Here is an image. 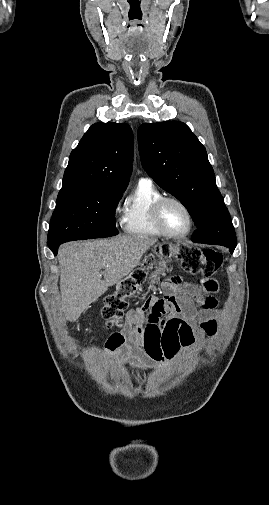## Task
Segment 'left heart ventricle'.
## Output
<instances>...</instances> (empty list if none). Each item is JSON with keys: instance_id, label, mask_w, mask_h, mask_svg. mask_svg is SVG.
<instances>
[{"instance_id": "1", "label": "left heart ventricle", "mask_w": 269, "mask_h": 505, "mask_svg": "<svg viewBox=\"0 0 269 505\" xmlns=\"http://www.w3.org/2000/svg\"><path fill=\"white\" fill-rule=\"evenodd\" d=\"M161 217L165 227L173 233H182L188 228L187 213L177 203L167 202L163 206Z\"/></svg>"}]
</instances>
